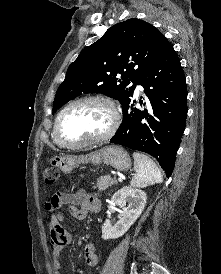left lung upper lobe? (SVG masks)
I'll return each instance as SVG.
<instances>
[{
  "mask_svg": "<svg viewBox=\"0 0 221 274\" xmlns=\"http://www.w3.org/2000/svg\"><path fill=\"white\" fill-rule=\"evenodd\" d=\"M169 45L163 34L143 20L131 18L113 25L69 66L56 92L53 113L82 93H104L124 107L142 73Z\"/></svg>",
  "mask_w": 221,
  "mask_h": 274,
  "instance_id": "left-lung-upper-lobe-1",
  "label": "left lung upper lobe"
}]
</instances>
